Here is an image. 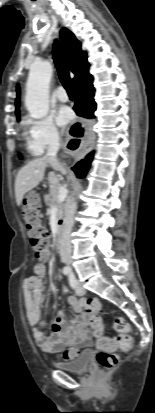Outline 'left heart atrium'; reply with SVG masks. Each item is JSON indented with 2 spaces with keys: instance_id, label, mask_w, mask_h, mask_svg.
Wrapping results in <instances>:
<instances>
[{
  "instance_id": "obj_1",
  "label": "left heart atrium",
  "mask_w": 155,
  "mask_h": 413,
  "mask_svg": "<svg viewBox=\"0 0 155 413\" xmlns=\"http://www.w3.org/2000/svg\"><path fill=\"white\" fill-rule=\"evenodd\" d=\"M72 119V112L69 107L62 106L59 108L56 116L57 123L60 126L66 125Z\"/></svg>"
}]
</instances>
